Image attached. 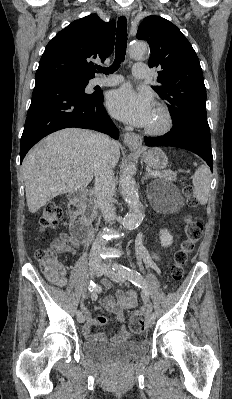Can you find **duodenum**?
I'll return each mask as SVG.
<instances>
[{
  "label": "duodenum",
  "instance_id": "1",
  "mask_svg": "<svg viewBox=\"0 0 232 399\" xmlns=\"http://www.w3.org/2000/svg\"><path fill=\"white\" fill-rule=\"evenodd\" d=\"M85 192L74 191L69 197L70 234L79 242H87L92 234V225L84 216Z\"/></svg>",
  "mask_w": 232,
  "mask_h": 399
}]
</instances>
